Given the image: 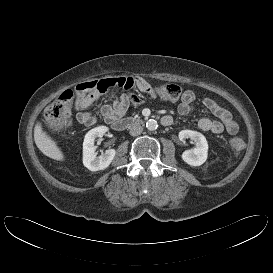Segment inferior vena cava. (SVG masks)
Wrapping results in <instances>:
<instances>
[{"mask_svg":"<svg viewBox=\"0 0 273 273\" xmlns=\"http://www.w3.org/2000/svg\"><path fill=\"white\" fill-rule=\"evenodd\" d=\"M143 131V128L141 125H138V124H133L131 127H130V135L131 136H138L142 133Z\"/></svg>","mask_w":273,"mask_h":273,"instance_id":"obj_1","label":"inferior vena cava"}]
</instances>
